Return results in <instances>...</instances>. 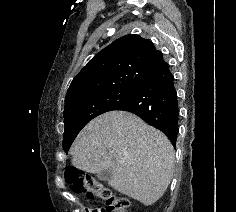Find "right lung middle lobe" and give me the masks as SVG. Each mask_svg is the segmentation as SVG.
<instances>
[{
    "label": "right lung middle lobe",
    "mask_w": 236,
    "mask_h": 212,
    "mask_svg": "<svg viewBox=\"0 0 236 212\" xmlns=\"http://www.w3.org/2000/svg\"><path fill=\"white\" fill-rule=\"evenodd\" d=\"M135 87H123L86 96L72 101L64 107L63 148L68 152L80 130L93 118L115 110L133 93Z\"/></svg>",
    "instance_id": "dd1d6c3e"
}]
</instances>
